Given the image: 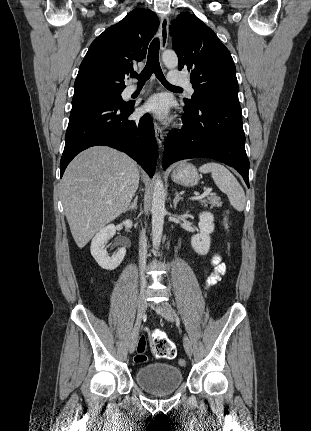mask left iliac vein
<instances>
[{
	"instance_id": "obj_1",
	"label": "left iliac vein",
	"mask_w": 311,
	"mask_h": 431,
	"mask_svg": "<svg viewBox=\"0 0 311 431\" xmlns=\"http://www.w3.org/2000/svg\"><path fill=\"white\" fill-rule=\"evenodd\" d=\"M151 307L159 314H161L167 321H174V311L171 305L168 302H162L157 305H151ZM183 345L185 352L188 356H191L193 353L192 344L190 339L187 336H184Z\"/></svg>"
}]
</instances>
